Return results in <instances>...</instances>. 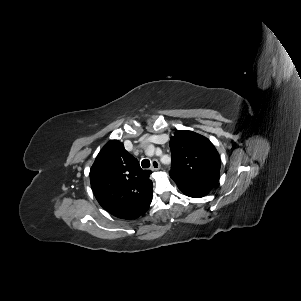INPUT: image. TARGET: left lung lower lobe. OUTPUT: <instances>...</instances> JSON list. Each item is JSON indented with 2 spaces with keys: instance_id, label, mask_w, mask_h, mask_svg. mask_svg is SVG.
I'll return each mask as SVG.
<instances>
[{
  "instance_id": "left-lung-lower-lobe-1",
  "label": "left lung lower lobe",
  "mask_w": 301,
  "mask_h": 301,
  "mask_svg": "<svg viewBox=\"0 0 301 301\" xmlns=\"http://www.w3.org/2000/svg\"><path fill=\"white\" fill-rule=\"evenodd\" d=\"M185 195L189 196V197H193V198H201V197H204L205 195L203 194H196V193H186V192H183Z\"/></svg>"
}]
</instances>
